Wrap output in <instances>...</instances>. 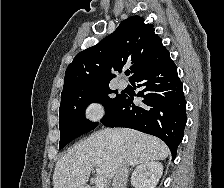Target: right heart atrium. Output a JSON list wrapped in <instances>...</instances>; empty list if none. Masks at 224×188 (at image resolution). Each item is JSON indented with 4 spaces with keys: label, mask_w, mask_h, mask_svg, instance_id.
<instances>
[{
    "label": "right heart atrium",
    "mask_w": 224,
    "mask_h": 188,
    "mask_svg": "<svg viewBox=\"0 0 224 188\" xmlns=\"http://www.w3.org/2000/svg\"><path fill=\"white\" fill-rule=\"evenodd\" d=\"M83 115L89 122H98L105 115V106L98 100H91L85 105Z\"/></svg>",
    "instance_id": "1"
}]
</instances>
